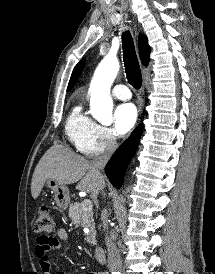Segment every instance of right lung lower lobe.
Returning a JSON list of instances; mask_svg holds the SVG:
<instances>
[{"instance_id":"1","label":"right lung lower lobe","mask_w":215,"mask_h":274,"mask_svg":"<svg viewBox=\"0 0 215 274\" xmlns=\"http://www.w3.org/2000/svg\"><path fill=\"white\" fill-rule=\"evenodd\" d=\"M142 134V126H138L132 135L117 149L106 165L105 173L112 185L120 188L126 167L137 150Z\"/></svg>"}]
</instances>
